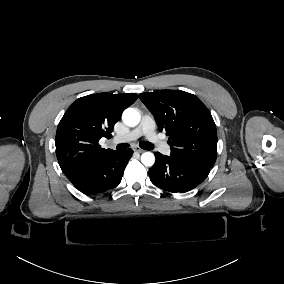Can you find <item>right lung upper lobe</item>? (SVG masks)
<instances>
[{
  "mask_svg": "<svg viewBox=\"0 0 284 284\" xmlns=\"http://www.w3.org/2000/svg\"><path fill=\"white\" fill-rule=\"evenodd\" d=\"M138 96L133 93H98L77 99L58 124L56 155L63 173L73 183L115 151L99 145L111 132L122 112Z\"/></svg>",
  "mask_w": 284,
  "mask_h": 284,
  "instance_id": "cb5924a9",
  "label": "right lung upper lobe"
}]
</instances>
